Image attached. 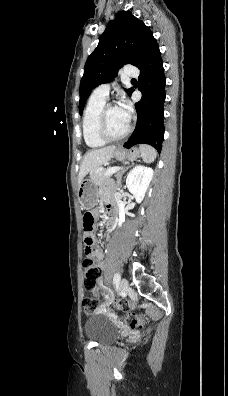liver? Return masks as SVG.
Listing matches in <instances>:
<instances>
[{
	"label": "liver",
	"instance_id": "1",
	"mask_svg": "<svg viewBox=\"0 0 228 396\" xmlns=\"http://www.w3.org/2000/svg\"><path fill=\"white\" fill-rule=\"evenodd\" d=\"M116 150L115 146H107L100 149L88 151L80 166L78 174V184H80L83 178L89 173L94 172L103 164L110 161L113 156V152Z\"/></svg>",
	"mask_w": 228,
	"mask_h": 396
}]
</instances>
